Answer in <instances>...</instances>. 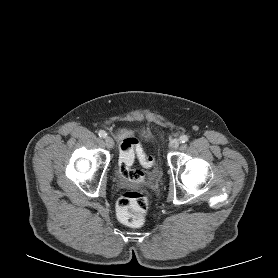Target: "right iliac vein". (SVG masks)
<instances>
[{"mask_svg": "<svg viewBox=\"0 0 278 278\" xmlns=\"http://www.w3.org/2000/svg\"><path fill=\"white\" fill-rule=\"evenodd\" d=\"M105 144L109 149L113 148V146H114L113 139L111 137L107 136L105 138Z\"/></svg>", "mask_w": 278, "mask_h": 278, "instance_id": "obj_1", "label": "right iliac vein"}]
</instances>
